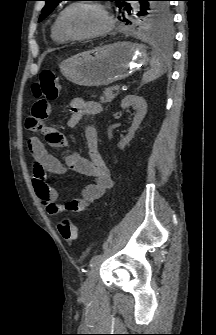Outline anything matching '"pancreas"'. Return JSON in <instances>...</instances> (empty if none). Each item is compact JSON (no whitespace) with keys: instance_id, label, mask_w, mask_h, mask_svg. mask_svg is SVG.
<instances>
[{"instance_id":"1","label":"pancreas","mask_w":216,"mask_h":335,"mask_svg":"<svg viewBox=\"0 0 216 335\" xmlns=\"http://www.w3.org/2000/svg\"><path fill=\"white\" fill-rule=\"evenodd\" d=\"M116 94L114 93V86L108 87L103 92V95L100 97L102 103H110L115 98Z\"/></svg>"}]
</instances>
